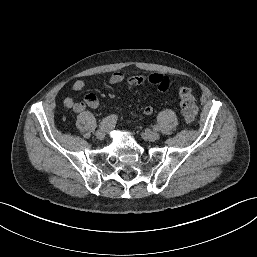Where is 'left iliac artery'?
<instances>
[{"label":"left iliac artery","instance_id":"44dca946","mask_svg":"<svg viewBox=\"0 0 257 257\" xmlns=\"http://www.w3.org/2000/svg\"><path fill=\"white\" fill-rule=\"evenodd\" d=\"M154 129H155V130H157V129H158V127H157V126H154Z\"/></svg>","mask_w":257,"mask_h":257}]
</instances>
